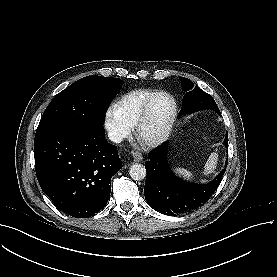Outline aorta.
<instances>
[{"mask_svg":"<svg viewBox=\"0 0 277 277\" xmlns=\"http://www.w3.org/2000/svg\"><path fill=\"white\" fill-rule=\"evenodd\" d=\"M146 168L142 164L135 163L130 167L129 175L135 181H141L146 177Z\"/></svg>","mask_w":277,"mask_h":277,"instance_id":"aorta-1","label":"aorta"}]
</instances>
